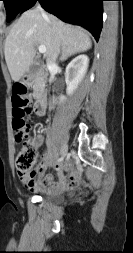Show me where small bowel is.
Masks as SVG:
<instances>
[{
  "label": "small bowel",
  "instance_id": "c3829d8e",
  "mask_svg": "<svg viewBox=\"0 0 133 253\" xmlns=\"http://www.w3.org/2000/svg\"><path fill=\"white\" fill-rule=\"evenodd\" d=\"M42 138H37L36 145L41 146ZM56 153L52 150H46L41 156L40 163L32 170L26 172H18L20 181L29 189L35 192L52 191L60 192L66 189L76 188L81 177L79 173L72 167L70 163H55ZM53 167L57 173L58 181L46 170ZM69 172V176H66Z\"/></svg>",
  "mask_w": 133,
  "mask_h": 253
}]
</instances>
